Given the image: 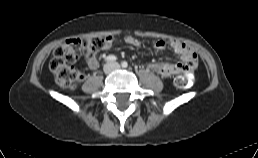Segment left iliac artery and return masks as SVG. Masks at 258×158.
<instances>
[{
  "label": "left iliac artery",
  "instance_id": "obj_1",
  "mask_svg": "<svg viewBox=\"0 0 258 158\" xmlns=\"http://www.w3.org/2000/svg\"><path fill=\"white\" fill-rule=\"evenodd\" d=\"M121 66H122L123 68H127L128 63H127L126 61H123V62L121 63Z\"/></svg>",
  "mask_w": 258,
  "mask_h": 158
}]
</instances>
